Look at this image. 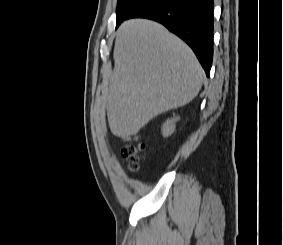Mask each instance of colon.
Returning a JSON list of instances; mask_svg holds the SVG:
<instances>
[{"label":"colon","instance_id":"colon-1","mask_svg":"<svg viewBox=\"0 0 283 245\" xmlns=\"http://www.w3.org/2000/svg\"><path fill=\"white\" fill-rule=\"evenodd\" d=\"M144 150V144L139 142L137 136H130L127 138V143L122 149V154L129 163V167L132 171H136L139 168L140 155Z\"/></svg>","mask_w":283,"mask_h":245}]
</instances>
